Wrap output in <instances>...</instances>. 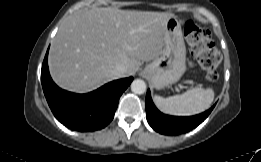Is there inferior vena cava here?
<instances>
[{
  "label": "inferior vena cava",
  "instance_id": "inferior-vena-cava-1",
  "mask_svg": "<svg viewBox=\"0 0 261 162\" xmlns=\"http://www.w3.org/2000/svg\"><path fill=\"white\" fill-rule=\"evenodd\" d=\"M125 73H126V68L124 66H121V65H118L113 70V74H114L115 78H121L125 75Z\"/></svg>",
  "mask_w": 261,
  "mask_h": 162
}]
</instances>
